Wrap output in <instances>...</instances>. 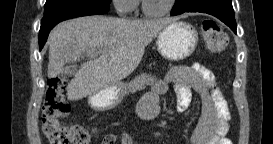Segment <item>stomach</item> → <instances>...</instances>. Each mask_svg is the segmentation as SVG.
Wrapping results in <instances>:
<instances>
[{"mask_svg":"<svg viewBox=\"0 0 273 144\" xmlns=\"http://www.w3.org/2000/svg\"><path fill=\"white\" fill-rule=\"evenodd\" d=\"M198 43L195 27L187 22L174 21L167 25L158 35L156 45L159 53L171 61L189 57ZM124 83H117L109 88L89 95L88 104L96 111L115 108L124 98Z\"/></svg>","mask_w":273,"mask_h":144,"instance_id":"1","label":"stomach"}]
</instances>
